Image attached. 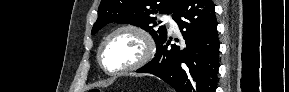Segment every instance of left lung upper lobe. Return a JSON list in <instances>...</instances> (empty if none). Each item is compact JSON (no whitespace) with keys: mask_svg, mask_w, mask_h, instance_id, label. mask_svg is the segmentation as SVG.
<instances>
[{"mask_svg":"<svg viewBox=\"0 0 289 92\" xmlns=\"http://www.w3.org/2000/svg\"><path fill=\"white\" fill-rule=\"evenodd\" d=\"M180 0H102L98 8V19L92 28L95 34L106 24L117 22L131 24L148 31L158 48L167 37L164 26L157 27L154 14H172Z\"/></svg>","mask_w":289,"mask_h":92,"instance_id":"1","label":"left lung upper lobe"}]
</instances>
